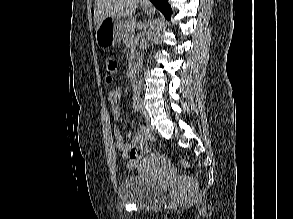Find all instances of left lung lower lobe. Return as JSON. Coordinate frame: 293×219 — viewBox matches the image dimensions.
<instances>
[{
    "label": "left lung lower lobe",
    "instance_id": "obj_1",
    "mask_svg": "<svg viewBox=\"0 0 293 219\" xmlns=\"http://www.w3.org/2000/svg\"><path fill=\"white\" fill-rule=\"evenodd\" d=\"M157 9H159L164 16L170 20L171 17V7L168 4V0H150Z\"/></svg>",
    "mask_w": 293,
    "mask_h": 219
}]
</instances>
